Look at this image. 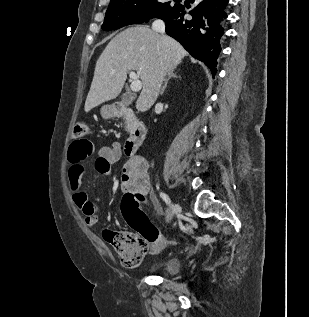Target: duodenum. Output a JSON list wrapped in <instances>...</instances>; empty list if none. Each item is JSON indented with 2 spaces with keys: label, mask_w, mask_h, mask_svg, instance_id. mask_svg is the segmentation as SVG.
<instances>
[{
  "label": "duodenum",
  "mask_w": 309,
  "mask_h": 317,
  "mask_svg": "<svg viewBox=\"0 0 309 317\" xmlns=\"http://www.w3.org/2000/svg\"><path fill=\"white\" fill-rule=\"evenodd\" d=\"M114 114L129 122V137L125 143V153L132 156L137 153L145 139V126L137 119L134 111L125 105L117 104L114 107Z\"/></svg>",
  "instance_id": "duodenum-1"
}]
</instances>
